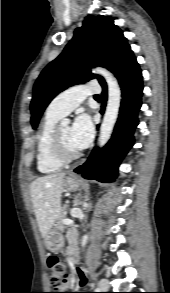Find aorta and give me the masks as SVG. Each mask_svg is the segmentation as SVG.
Masks as SVG:
<instances>
[{
  "mask_svg": "<svg viewBox=\"0 0 170 293\" xmlns=\"http://www.w3.org/2000/svg\"><path fill=\"white\" fill-rule=\"evenodd\" d=\"M94 72L103 76L108 86V101L98 139V144L102 147L109 140L119 114L121 89L117 79L108 70L98 67ZM64 122H68V120H64Z\"/></svg>",
  "mask_w": 170,
  "mask_h": 293,
  "instance_id": "1",
  "label": "aorta"
}]
</instances>
